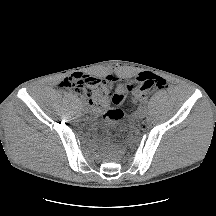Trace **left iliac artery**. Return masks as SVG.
Wrapping results in <instances>:
<instances>
[{"instance_id": "obj_1", "label": "left iliac artery", "mask_w": 216, "mask_h": 216, "mask_svg": "<svg viewBox=\"0 0 216 216\" xmlns=\"http://www.w3.org/2000/svg\"><path fill=\"white\" fill-rule=\"evenodd\" d=\"M142 104H143V105H148V104H149V100H148V99L143 100V101H142Z\"/></svg>"}]
</instances>
